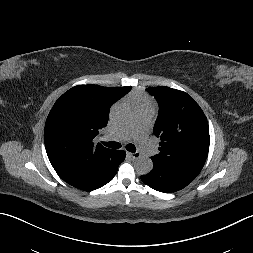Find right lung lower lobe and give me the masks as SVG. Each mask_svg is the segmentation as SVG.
<instances>
[{"instance_id":"1","label":"right lung lower lobe","mask_w":253,"mask_h":253,"mask_svg":"<svg viewBox=\"0 0 253 253\" xmlns=\"http://www.w3.org/2000/svg\"><path fill=\"white\" fill-rule=\"evenodd\" d=\"M126 153L123 150H113L110 155L101 160L95 170L87 176L75 178L59 175L68 184L84 190L91 191L98 189L110 182L119 164L124 161Z\"/></svg>"}]
</instances>
